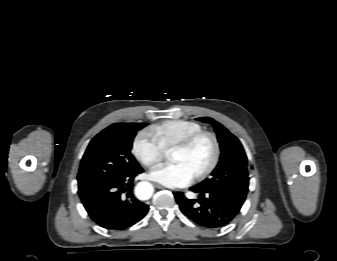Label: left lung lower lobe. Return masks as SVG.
Returning <instances> with one entry per match:
<instances>
[{"mask_svg": "<svg viewBox=\"0 0 337 261\" xmlns=\"http://www.w3.org/2000/svg\"><path fill=\"white\" fill-rule=\"evenodd\" d=\"M190 190L199 195L198 199H187L181 192H174V196L181 212L202 227L210 229L224 227L241 209L239 205L219 192L200 191L195 186Z\"/></svg>", "mask_w": 337, "mask_h": 261, "instance_id": "1", "label": "left lung lower lobe"}]
</instances>
